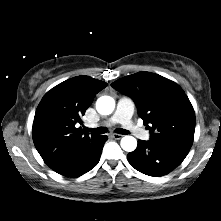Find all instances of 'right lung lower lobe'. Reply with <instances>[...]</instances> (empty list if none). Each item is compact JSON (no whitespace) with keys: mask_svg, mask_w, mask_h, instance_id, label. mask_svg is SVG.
<instances>
[{"mask_svg":"<svg viewBox=\"0 0 221 221\" xmlns=\"http://www.w3.org/2000/svg\"><path fill=\"white\" fill-rule=\"evenodd\" d=\"M106 140L107 136L101 135L96 145H94V147L86 155L80 158L70 168L66 169L65 171L59 174L64 175L66 177H78L91 170L99 162L102 148Z\"/></svg>","mask_w":221,"mask_h":221,"instance_id":"98d812e1","label":"right lung lower lobe"}]
</instances>
